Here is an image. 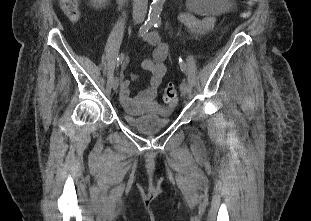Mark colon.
Segmentation results:
<instances>
[{
  "mask_svg": "<svg viewBox=\"0 0 311 221\" xmlns=\"http://www.w3.org/2000/svg\"><path fill=\"white\" fill-rule=\"evenodd\" d=\"M250 2V0H245ZM59 6L67 18L76 23L81 15L80 0H59ZM243 19L250 16V11L246 10L240 14ZM178 97L177 88L174 85H167L163 91V102L166 105H173L176 103Z\"/></svg>",
  "mask_w": 311,
  "mask_h": 221,
  "instance_id": "1",
  "label": "colon"
}]
</instances>
